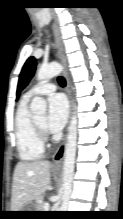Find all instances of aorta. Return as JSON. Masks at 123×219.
Masks as SVG:
<instances>
[{"instance_id": "obj_1", "label": "aorta", "mask_w": 123, "mask_h": 219, "mask_svg": "<svg viewBox=\"0 0 123 219\" xmlns=\"http://www.w3.org/2000/svg\"><path fill=\"white\" fill-rule=\"evenodd\" d=\"M63 71L62 65L59 63H50L42 65L37 72L38 81H46ZM46 101L41 97H34L30 110L34 115L42 116L46 113ZM77 145V116L73 113L69 125L67 142L65 146L64 163H63V198L68 200L71 195L72 181L74 175V163Z\"/></svg>"}]
</instances>
